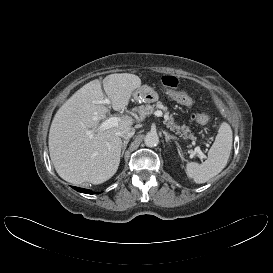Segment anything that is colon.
<instances>
[{
  "label": "colon",
  "mask_w": 273,
  "mask_h": 273,
  "mask_svg": "<svg viewBox=\"0 0 273 273\" xmlns=\"http://www.w3.org/2000/svg\"><path fill=\"white\" fill-rule=\"evenodd\" d=\"M163 84L171 90V94L173 98L183 104V105H191L193 100L192 98L184 91L177 90L178 87V79L171 75H166L162 78ZM195 120L200 124H206L209 122V116L204 113H198L195 115Z\"/></svg>",
  "instance_id": "colon-1"
}]
</instances>
